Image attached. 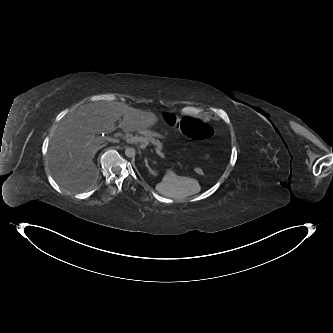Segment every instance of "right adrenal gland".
Listing matches in <instances>:
<instances>
[{
  "label": "right adrenal gland",
  "mask_w": 333,
  "mask_h": 333,
  "mask_svg": "<svg viewBox=\"0 0 333 333\" xmlns=\"http://www.w3.org/2000/svg\"><path fill=\"white\" fill-rule=\"evenodd\" d=\"M104 146H106V144L102 145L101 147H104Z\"/></svg>",
  "instance_id": "right-adrenal-gland-1"
}]
</instances>
